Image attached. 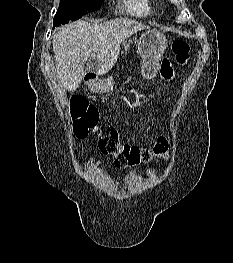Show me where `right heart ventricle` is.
<instances>
[{
	"mask_svg": "<svg viewBox=\"0 0 233 263\" xmlns=\"http://www.w3.org/2000/svg\"><path fill=\"white\" fill-rule=\"evenodd\" d=\"M128 11L136 15H145L150 11L148 0H126Z\"/></svg>",
	"mask_w": 233,
	"mask_h": 263,
	"instance_id": "1",
	"label": "right heart ventricle"
}]
</instances>
